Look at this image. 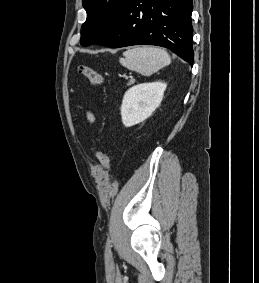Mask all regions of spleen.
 Returning a JSON list of instances; mask_svg holds the SVG:
<instances>
[{
  "instance_id": "obj_1",
  "label": "spleen",
  "mask_w": 259,
  "mask_h": 283,
  "mask_svg": "<svg viewBox=\"0 0 259 283\" xmlns=\"http://www.w3.org/2000/svg\"><path fill=\"white\" fill-rule=\"evenodd\" d=\"M119 62L126 68L150 76L171 63L169 54L161 48L134 47L123 53Z\"/></svg>"
}]
</instances>
